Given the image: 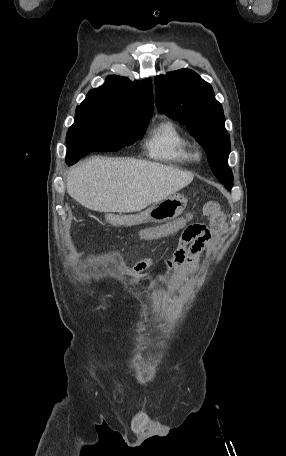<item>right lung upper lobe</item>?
I'll list each match as a JSON object with an SVG mask.
<instances>
[{"label":"right lung upper lobe","mask_w":286,"mask_h":456,"mask_svg":"<svg viewBox=\"0 0 286 456\" xmlns=\"http://www.w3.org/2000/svg\"><path fill=\"white\" fill-rule=\"evenodd\" d=\"M153 103L151 79L132 82L114 75L108 76L103 86L90 90L80 106L151 117L154 112Z\"/></svg>","instance_id":"cb5924a9"}]
</instances>
